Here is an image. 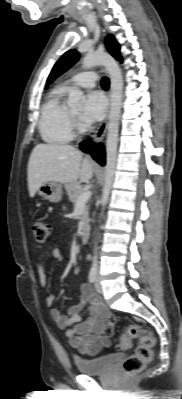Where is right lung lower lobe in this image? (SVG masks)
Wrapping results in <instances>:
<instances>
[{
    "label": "right lung lower lobe",
    "instance_id": "1",
    "mask_svg": "<svg viewBox=\"0 0 182 399\" xmlns=\"http://www.w3.org/2000/svg\"><path fill=\"white\" fill-rule=\"evenodd\" d=\"M93 142L88 139L81 143L80 147L83 151H92V157L102 166L105 164V152L102 145H98L95 148H91Z\"/></svg>",
    "mask_w": 182,
    "mask_h": 399
}]
</instances>
